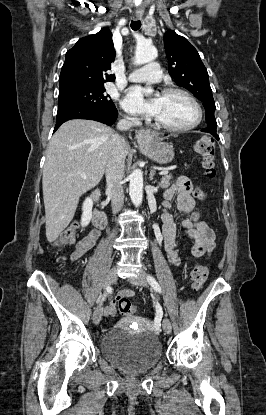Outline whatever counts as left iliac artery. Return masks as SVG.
I'll return each instance as SVG.
<instances>
[{
  "instance_id": "1",
  "label": "left iliac artery",
  "mask_w": 266,
  "mask_h": 415,
  "mask_svg": "<svg viewBox=\"0 0 266 415\" xmlns=\"http://www.w3.org/2000/svg\"><path fill=\"white\" fill-rule=\"evenodd\" d=\"M147 280L155 291H157L159 293L161 292V287L158 284V282L155 280V278H153L151 275H148Z\"/></svg>"
}]
</instances>
